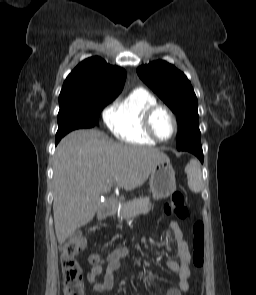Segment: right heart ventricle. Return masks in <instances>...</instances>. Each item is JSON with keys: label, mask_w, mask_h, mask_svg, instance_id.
Here are the masks:
<instances>
[{"label": "right heart ventricle", "mask_w": 256, "mask_h": 295, "mask_svg": "<svg viewBox=\"0 0 256 295\" xmlns=\"http://www.w3.org/2000/svg\"><path fill=\"white\" fill-rule=\"evenodd\" d=\"M157 103L148 90L136 88L108 110L106 124L112 134L125 143L155 145L156 141L144 129L143 118L145 111Z\"/></svg>", "instance_id": "e07e8e85"}]
</instances>
